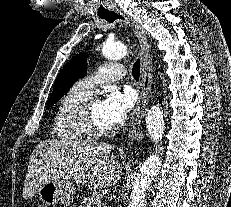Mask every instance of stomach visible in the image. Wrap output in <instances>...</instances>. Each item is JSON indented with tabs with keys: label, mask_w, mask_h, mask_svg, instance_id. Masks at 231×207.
I'll list each match as a JSON object with an SVG mask.
<instances>
[{
	"label": "stomach",
	"mask_w": 231,
	"mask_h": 207,
	"mask_svg": "<svg viewBox=\"0 0 231 207\" xmlns=\"http://www.w3.org/2000/svg\"><path fill=\"white\" fill-rule=\"evenodd\" d=\"M37 194L45 207H55L57 203L69 207L75 200L76 189L69 180H49L39 188Z\"/></svg>",
	"instance_id": "obj_1"
}]
</instances>
